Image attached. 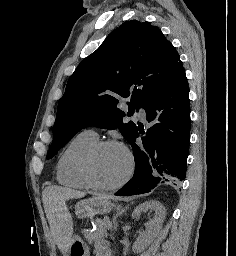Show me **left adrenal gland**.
Instances as JSON below:
<instances>
[{"label":"left adrenal gland","mask_w":236,"mask_h":256,"mask_svg":"<svg viewBox=\"0 0 236 256\" xmlns=\"http://www.w3.org/2000/svg\"><path fill=\"white\" fill-rule=\"evenodd\" d=\"M126 208H122V206H118L117 208V214H114L113 218H112V222L114 224V230H117V218H119V216H121V214H124Z\"/></svg>","instance_id":"left-adrenal-gland-1"}]
</instances>
